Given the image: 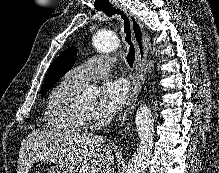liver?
I'll use <instances>...</instances> for the list:
<instances>
[{
  "label": "liver",
  "instance_id": "liver-1",
  "mask_svg": "<svg viewBox=\"0 0 219 173\" xmlns=\"http://www.w3.org/2000/svg\"><path fill=\"white\" fill-rule=\"evenodd\" d=\"M113 159L101 136L36 130L21 143L17 173H28L39 160L56 162L73 173H113Z\"/></svg>",
  "mask_w": 219,
  "mask_h": 173
}]
</instances>
